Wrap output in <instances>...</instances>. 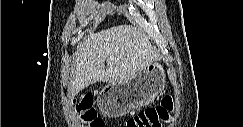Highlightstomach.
<instances>
[{
    "label": "stomach",
    "instance_id": "0dacf381",
    "mask_svg": "<svg viewBox=\"0 0 243 127\" xmlns=\"http://www.w3.org/2000/svg\"><path fill=\"white\" fill-rule=\"evenodd\" d=\"M164 88L163 65L154 61L135 77L106 85L98 94L97 104L104 115L117 118L150 104Z\"/></svg>",
    "mask_w": 243,
    "mask_h": 127
}]
</instances>
